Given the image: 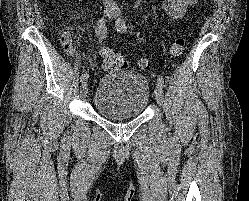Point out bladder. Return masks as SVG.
Segmentation results:
<instances>
[{"instance_id":"31cf9c89","label":"bladder","mask_w":249,"mask_h":201,"mask_svg":"<svg viewBox=\"0 0 249 201\" xmlns=\"http://www.w3.org/2000/svg\"><path fill=\"white\" fill-rule=\"evenodd\" d=\"M150 85L144 74L107 72L98 81L93 105L103 117L126 120L140 116L148 105Z\"/></svg>"}]
</instances>
